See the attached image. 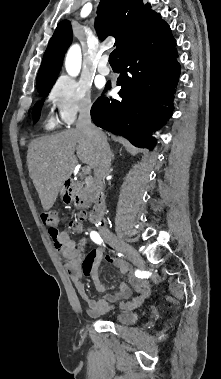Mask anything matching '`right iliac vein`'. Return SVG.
Listing matches in <instances>:
<instances>
[{"label": "right iliac vein", "mask_w": 221, "mask_h": 379, "mask_svg": "<svg viewBox=\"0 0 221 379\" xmlns=\"http://www.w3.org/2000/svg\"><path fill=\"white\" fill-rule=\"evenodd\" d=\"M107 241L116 249L123 252L128 257L132 258L136 263L143 264V259L140 254L128 243L119 239L117 236H107Z\"/></svg>", "instance_id": "1"}]
</instances>
